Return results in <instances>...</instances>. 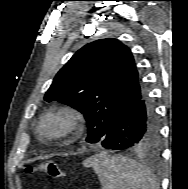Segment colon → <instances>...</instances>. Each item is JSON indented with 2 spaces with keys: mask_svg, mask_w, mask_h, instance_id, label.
<instances>
[{
  "mask_svg": "<svg viewBox=\"0 0 188 189\" xmlns=\"http://www.w3.org/2000/svg\"><path fill=\"white\" fill-rule=\"evenodd\" d=\"M26 173H43L52 178L63 179L65 177L64 172L60 169L59 165L54 161H41L34 166H28Z\"/></svg>",
  "mask_w": 188,
  "mask_h": 189,
  "instance_id": "1",
  "label": "colon"
}]
</instances>
